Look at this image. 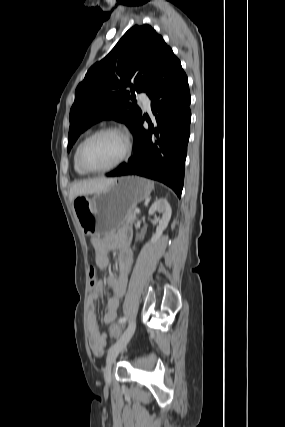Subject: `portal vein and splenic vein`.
<instances>
[{"instance_id":"obj_1","label":"portal vein and splenic vein","mask_w":285,"mask_h":427,"mask_svg":"<svg viewBox=\"0 0 285 427\" xmlns=\"http://www.w3.org/2000/svg\"><path fill=\"white\" fill-rule=\"evenodd\" d=\"M135 212H136V213H140V210H139V209H136V210H135Z\"/></svg>"}]
</instances>
